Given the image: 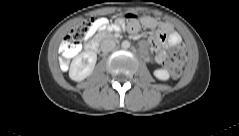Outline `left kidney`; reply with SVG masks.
Segmentation results:
<instances>
[{
	"instance_id": "left-kidney-1",
	"label": "left kidney",
	"mask_w": 239,
	"mask_h": 136,
	"mask_svg": "<svg viewBox=\"0 0 239 136\" xmlns=\"http://www.w3.org/2000/svg\"><path fill=\"white\" fill-rule=\"evenodd\" d=\"M154 76L162 81H166L170 78V74L167 70L165 69H157L153 72Z\"/></svg>"
}]
</instances>
